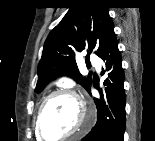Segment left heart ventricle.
<instances>
[{
    "instance_id": "obj_1",
    "label": "left heart ventricle",
    "mask_w": 155,
    "mask_h": 141,
    "mask_svg": "<svg viewBox=\"0 0 155 141\" xmlns=\"http://www.w3.org/2000/svg\"><path fill=\"white\" fill-rule=\"evenodd\" d=\"M81 121L82 111L76 101L66 95H57L46 103L41 127L46 138L58 139L73 131Z\"/></svg>"
}]
</instances>
